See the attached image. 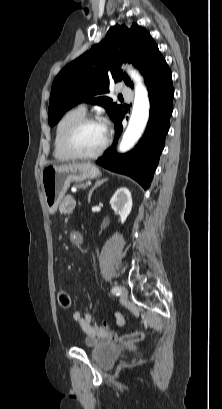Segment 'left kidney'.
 <instances>
[{
    "label": "left kidney",
    "mask_w": 222,
    "mask_h": 409,
    "mask_svg": "<svg viewBox=\"0 0 222 409\" xmlns=\"http://www.w3.org/2000/svg\"><path fill=\"white\" fill-rule=\"evenodd\" d=\"M111 208L120 216L124 223L132 209L131 192L126 188H119L110 200Z\"/></svg>",
    "instance_id": "1"
}]
</instances>
